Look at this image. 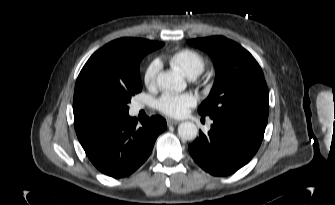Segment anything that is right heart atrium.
Wrapping results in <instances>:
<instances>
[{
	"label": "right heart atrium",
	"mask_w": 335,
	"mask_h": 205,
	"mask_svg": "<svg viewBox=\"0 0 335 205\" xmlns=\"http://www.w3.org/2000/svg\"><path fill=\"white\" fill-rule=\"evenodd\" d=\"M160 70V63L158 60H153L145 69L143 81L144 84L152 88L156 85L157 76Z\"/></svg>",
	"instance_id": "obj_1"
}]
</instances>
